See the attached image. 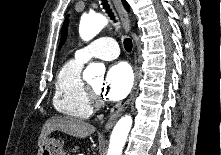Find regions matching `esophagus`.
<instances>
[{
	"instance_id": "34e87169",
	"label": "esophagus",
	"mask_w": 221,
	"mask_h": 155,
	"mask_svg": "<svg viewBox=\"0 0 221 155\" xmlns=\"http://www.w3.org/2000/svg\"><path fill=\"white\" fill-rule=\"evenodd\" d=\"M113 4L118 12V15L121 19L122 25L125 28L127 32H131V24H130V19L129 15L126 12L121 0H112ZM134 71H135V82H134V87L133 90L129 96V98L124 102L122 106H120L108 119L107 123L105 124L104 127V132H108L113 125L115 124L116 120L121 116V114L125 111V109L128 107L129 103L134 97L135 90L137 88V83L139 79V70H138V65H137V60L135 59V65H134Z\"/></svg>"
}]
</instances>
